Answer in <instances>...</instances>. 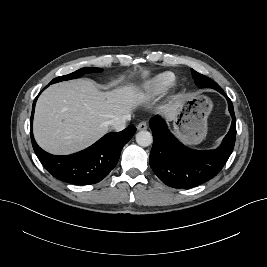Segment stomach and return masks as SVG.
Segmentation results:
<instances>
[{
	"instance_id": "obj_1",
	"label": "stomach",
	"mask_w": 267,
	"mask_h": 267,
	"mask_svg": "<svg viewBox=\"0 0 267 267\" xmlns=\"http://www.w3.org/2000/svg\"><path fill=\"white\" fill-rule=\"evenodd\" d=\"M212 101L201 94L182 100L173 119L175 134L187 145H198L207 136V118L211 113Z\"/></svg>"
}]
</instances>
